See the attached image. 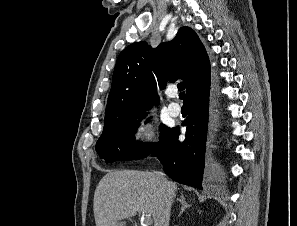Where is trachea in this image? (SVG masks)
<instances>
[{"instance_id":"trachea-1","label":"trachea","mask_w":297,"mask_h":226,"mask_svg":"<svg viewBox=\"0 0 297 226\" xmlns=\"http://www.w3.org/2000/svg\"><path fill=\"white\" fill-rule=\"evenodd\" d=\"M179 98L183 100V104H187V101L185 99V92L184 91L179 94Z\"/></svg>"}]
</instances>
